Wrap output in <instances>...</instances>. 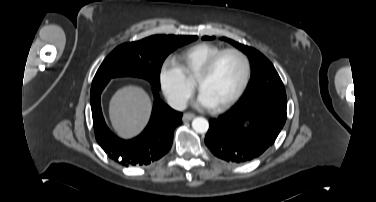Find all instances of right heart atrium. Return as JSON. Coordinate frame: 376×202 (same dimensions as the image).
<instances>
[{"label":"right heart atrium","instance_id":"1","mask_svg":"<svg viewBox=\"0 0 376 202\" xmlns=\"http://www.w3.org/2000/svg\"><path fill=\"white\" fill-rule=\"evenodd\" d=\"M159 88L175 109H183L193 94V85L171 59H165L158 71Z\"/></svg>","mask_w":376,"mask_h":202}]
</instances>
